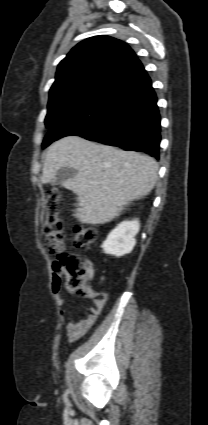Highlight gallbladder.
<instances>
[{"instance_id":"bac80fb5","label":"gallbladder","mask_w":208,"mask_h":425,"mask_svg":"<svg viewBox=\"0 0 208 425\" xmlns=\"http://www.w3.org/2000/svg\"><path fill=\"white\" fill-rule=\"evenodd\" d=\"M76 173H77V171L75 169H73V168L62 167L58 171L56 177L53 180H51L49 183L52 186L59 185V184H64L68 179L74 177L76 175Z\"/></svg>"}]
</instances>
